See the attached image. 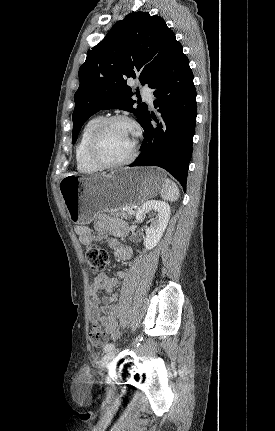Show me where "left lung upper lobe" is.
Returning a JSON list of instances; mask_svg holds the SVG:
<instances>
[{"instance_id": "1", "label": "left lung upper lobe", "mask_w": 275, "mask_h": 431, "mask_svg": "<svg viewBox=\"0 0 275 431\" xmlns=\"http://www.w3.org/2000/svg\"><path fill=\"white\" fill-rule=\"evenodd\" d=\"M179 45L173 31L159 16L134 12L118 21L99 44L88 50L79 69L72 143L76 142L84 122L99 110L133 112L142 124L148 106L138 101L136 105L126 81L138 78L142 85L152 88Z\"/></svg>"}]
</instances>
